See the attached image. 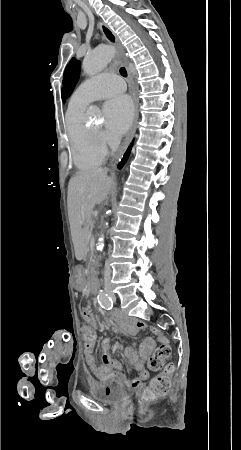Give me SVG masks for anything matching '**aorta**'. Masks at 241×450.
<instances>
[{
  "mask_svg": "<svg viewBox=\"0 0 241 450\" xmlns=\"http://www.w3.org/2000/svg\"><path fill=\"white\" fill-rule=\"evenodd\" d=\"M115 48L112 46H100L88 53L82 63L83 71L88 76H93L100 73L107 64L114 57ZM88 115L91 118L97 119L100 116V110L97 106H90L88 110ZM108 223H106V226ZM104 248V235L101 234L98 238L97 250L103 251Z\"/></svg>",
  "mask_w": 241,
  "mask_h": 450,
  "instance_id": "762f6f07",
  "label": "aorta"
}]
</instances>
